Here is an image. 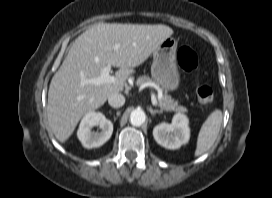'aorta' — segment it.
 Listing matches in <instances>:
<instances>
[{
	"instance_id": "aorta-1",
	"label": "aorta",
	"mask_w": 272,
	"mask_h": 198,
	"mask_svg": "<svg viewBox=\"0 0 272 198\" xmlns=\"http://www.w3.org/2000/svg\"><path fill=\"white\" fill-rule=\"evenodd\" d=\"M146 119V115L143 110L135 109L130 114V123L133 126H141Z\"/></svg>"
}]
</instances>
